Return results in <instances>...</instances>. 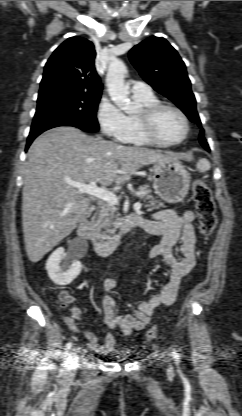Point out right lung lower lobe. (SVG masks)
I'll list each match as a JSON object with an SVG mask.
<instances>
[{"label": "right lung lower lobe", "mask_w": 242, "mask_h": 416, "mask_svg": "<svg viewBox=\"0 0 242 416\" xmlns=\"http://www.w3.org/2000/svg\"><path fill=\"white\" fill-rule=\"evenodd\" d=\"M57 126H74V127L80 128L83 131H89L82 125V123L74 122L72 120H63V121H60V122H57V123H49V124H44L42 126H38V127H35V128H31L30 134H29L28 139H27V144H26L25 151H27V149L29 148L32 141L39 134H41L42 132H44L48 129H51V128L57 127Z\"/></svg>", "instance_id": "obj_1"}]
</instances>
